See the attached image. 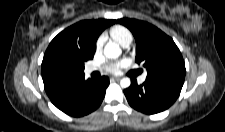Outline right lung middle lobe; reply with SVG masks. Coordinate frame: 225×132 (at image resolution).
I'll return each mask as SVG.
<instances>
[{
  "mask_svg": "<svg viewBox=\"0 0 225 132\" xmlns=\"http://www.w3.org/2000/svg\"><path fill=\"white\" fill-rule=\"evenodd\" d=\"M43 60L51 71L61 74L82 73L86 61L64 43L49 45Z\"/></svg>",
  "mask_w": 225,
  "mask_h": 132,
  "instance_id": "dd1d6c3e",
  "label": "right lung middle lobe"
}]
</instances>
